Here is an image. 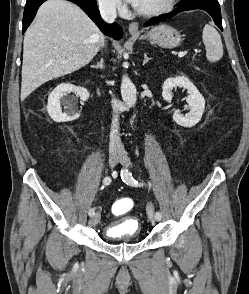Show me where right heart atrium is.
<instances>
[{
    "label": "right heart atrium",
    "mask_w": 249,
    "mask_h": 294,
    "mask_svg": "<svg viewBox=\"0 0 249 294\" xmlns=\"http://www.w3.org/2000/svg\"><path fill=\"white\" fill-rule=\"evenodd\" d=\"M100 8L106 12L121 11L124 7L121 0H97Z\"/></svg>",
    "instance_id": "obj_1"
}]
</instances>
